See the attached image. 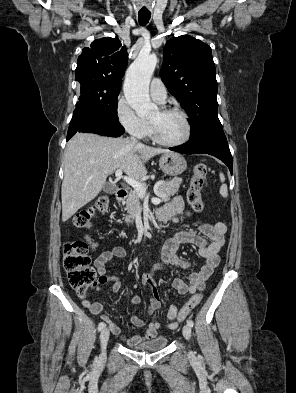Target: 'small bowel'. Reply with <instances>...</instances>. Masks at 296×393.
I'll return each mask as SVG.
<instances>
[{
  "instance_id": "small-bowel-1",
  "label": "small bowel",
  "mask_w": 296,
  "mask_h": 393,
  "mask_svg": "<svg viewBox=\"0 0 296 393\" xmlns=\"http://www.w3.org/2000/svg\"><path fill=\"white\" fill-rule=\"evenodd\" d=\"M160 213L166 220H171L174 223H177L181 218L192 216V212L185 208L181 196H176L165 204L160 209ZM226 230V225L223 222L203 224L199 227V231H178L164 244L162 248V262L156 264L149 272L142 275V283L148 286L152 291V297L149 299L147 308L148 314H153L161 309V297L155 287V272L165 270L169 265L177 268H188L190 266L189 262L176 255L181 244L188 243L197 246L199 255L204 260V264L198 271L192 272L188 276L187 281L177 278L173 281L172 286L182 295L204 290L206 280L212 275L214 269L219 264L218 254L223 246ZM126 256L127 251L124 247L113 246L103 251L96 258L95 267L98 273V281L94 289L82 297V304L87 307L92 314L100 315L101 319L107 324L113 334L120 336L129 346H135L155 338L157 331L163 326L169 329H175L178 325V323L174 321L178 312V307L176 305H170L166 314V319L169 323L165 325L160 322H145L136 315L132 316V324L139 328H145V332L143 335H133L131 337H126L121 332L119 326L114 323L108 315L102 314L104 310L103 303L91 301L90 296L93 292L99 291L101 286L107 283H111L113 292L117 293L121 290L119 278L116 275L107 274L106 266L111 260L115 258H125ZM130 301L132 304H139L141 303V298L134 296Z\"/></svg>"
}]
</instances>
